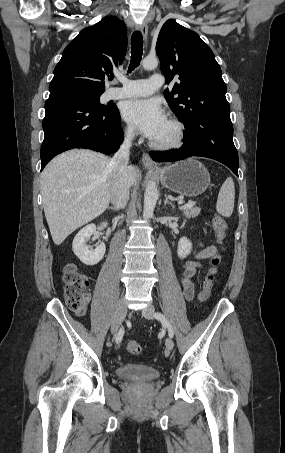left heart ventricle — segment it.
<instances>
[{"mask_svg":"<svg viewBox=\"0 0 285 453\" xmlns=\"http://www.w3.org/2000/svg\"><path fill=\"white\" fill-rule=\"evenodd\" d=\"M174 136V127L167 120L160 130L159 134L153 139L158 142L170 140Z\"/></svg>","mask_w":285,"mask_h":453,"instance_id":"left-heart-ventricle-1","label":"left heart ventricle"}]
</instances>
